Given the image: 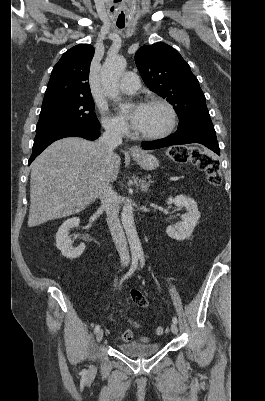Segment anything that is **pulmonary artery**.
I'll return each mask as SVG.
<instances>
[{
  "instance_id": "obj_1",
  "label": "pulmonary artery",
  "mask_w": 265,
  "mask_h": 401,
  "mask_svg": "<svg viewBox=\"0 0 265 401\" xmlns=\"http://www.w3.org/2000/svg\"><path fill=\"white\" fill-rule=\"evenodd\" d=\"M139 77L136 72H127L125 81L118 82V89L122 90L124 95H136L139 88Z\"/></svg>"
}]
</instances>
